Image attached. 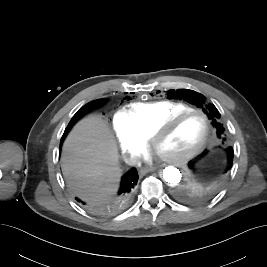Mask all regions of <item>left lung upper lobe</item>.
I'll return each mask as SVG.
<instances>
[{
    "label": "left lung upper lobe",
    "instance_id": "5c2ea615",
    "mask_svg": "<svg viewBox=\"0 0 267 267\" xmlns=\"http://www.w3.org/2000/svg\"><path fill=\"white\" fill-rule=\"evenodd\" d=\"M167 95L169 99L185 100L199 108H202L204 113L212 121V125L216 129L217 137L225 139L224 138L225 129L222 126V124L219 123L220 113L213 104H210L206 101L205 96L188 89L177 90V91L169 90Z\"/></svg>",
    "mask_w": 267,
    "mask_h": 267
}]
</instances>
